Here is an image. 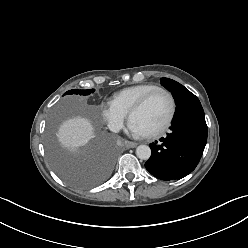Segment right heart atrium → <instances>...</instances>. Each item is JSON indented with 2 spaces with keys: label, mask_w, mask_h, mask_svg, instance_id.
Segmentation results:
<instances>
[{
  "label": "right heart atrium",
  "mask_w": 248,
  "mask_h": 248,
  "mask_svg": "<svg viewBox=\"0 0 248 248\" xmlns=\"http://www.w3.org/2000/svg\"><path fill=\"white\" fill-rule=\"evenodd\" d=\"M102 117L112 131H119L123 128L127 113L118 108L113 102L102 106Z\"/></svg>",
  "instance_id": "obj_1"
}]
</instances>
